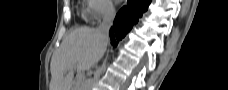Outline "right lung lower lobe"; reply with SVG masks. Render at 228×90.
<instances>
[{
  "mask_svg": "<svg viewBox=\"0 0 228 90\" xmlns=\"http://www.w3.org/2000/svg\"><path fill=\"white\" fill-rule=\"evenodd\" d=\"M150 2L151 0H127V6L123 7L116 15L109 32L114 47L138 22V18L147 10Z\"/></svg>",
  "mask_w": 228,
  "mask_h": 90,
  "instance_id": "98d812e1",
  "label": "right lung lower lobe"
}]
</instances>
